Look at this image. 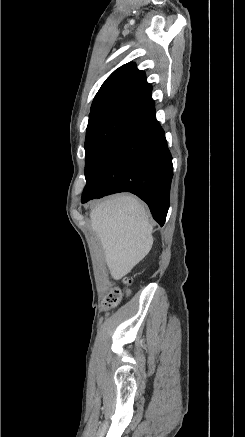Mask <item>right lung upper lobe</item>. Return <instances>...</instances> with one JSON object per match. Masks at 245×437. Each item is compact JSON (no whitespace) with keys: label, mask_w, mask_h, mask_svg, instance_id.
I'll return each mask as SVG.
<instances>
[{"label":"right lung upper lobe","mask_w":245,"mask_h":437,"mask_svg":"<svg viewBox=\"0 0 245 437\" xmlns=\"http://www.w3.org/2000/svg\"><path fill=\"white\" fill-rule=\"evenodd\" d=\"M152 86L146 75L135 63H127L116 69L97 92L91 110L103 105L123 104L147 112L154 109Z\"/></svg>","instance_id":"cb5924a9"}]
</instances>
